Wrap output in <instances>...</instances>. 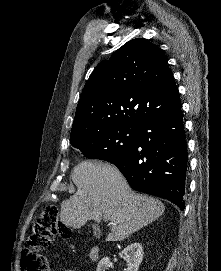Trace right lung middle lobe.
<instances>
[{
    "mask_svg": "<svg viewBox=\"0 0 221 271\" xmlns=\"http://www.w3.org/2000/svg\"><path fill=\"white\" fill-rule=\"evenodd\" d=\"M138 131L139 127L135 126H114L70 143L89 159L113 163L135 145Z\"/></svg>",
    "mask_w": 221,
    "mask_h": 271,
    "instance_id": "1",
    "label": "right lung middle lobe"
}]
</instances>
